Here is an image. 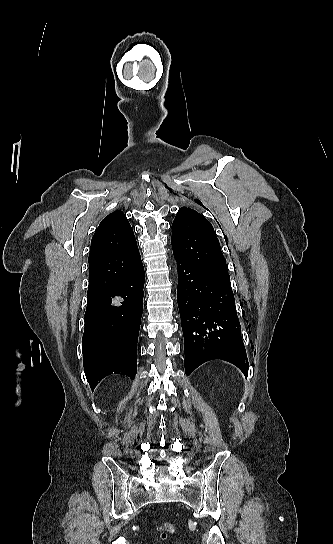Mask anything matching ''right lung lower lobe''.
I'll return each instance as SVG.
<instances>
[{
	"instance_id": "1",
	"label": "right lung lower lobe",
	"mask_w": 333,
	"mask_h": 544,
	"mask_svg": "<svg viewBox=\"0 0 333 544\" xmlns=\"http://www.w3.org/2000/svg\"><path fill=\"white\" fill-rule=\"evenodd\" d=\"M143 287L141 262L113 286L87 296L82 351L92 390L108 374L135 377Z\"/></svg>"
}]
</instances>
